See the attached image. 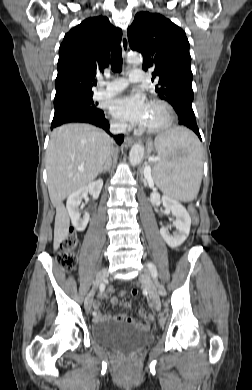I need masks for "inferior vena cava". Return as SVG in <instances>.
Returning a JSON list of instances; mask_svg holds the SVG:
<instances>
[{
  "instance_id": "obj_1",
  "label": "inferior vena cava",
  "mask_w": 252,
  "mask_h": 390,
  "mask_svg": "<svg viewBox=\"0 0 252 390\" xmlns=\"http://www.w3.org/2000/svg\"><path fill=\"white\" fill-rule=\"evenodd\" d=\"M110 131L113 134H121L126 132V124L124 123H112L110 126Z\"/></svg>"
}]
</instances>
